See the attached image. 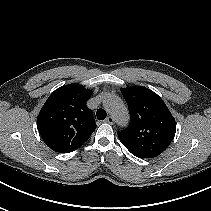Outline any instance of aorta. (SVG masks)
Masks as SVG:
<instances>
[{"label":"aorta","mask_w":211,"mask_h":211,"mask_svg":"<svg viewBox=\"0 0 211 211\" xmlns=\"http://www.w3.org/2000/svg\"><path fill=\"white\" fill-rule=\"evenodd\" d=\"M104 106L120 125H126L129 120L128 110L121 99L115 95H108L104 100Z\"/></svg>","instance_id":"aorta-1"}]
</instances>
